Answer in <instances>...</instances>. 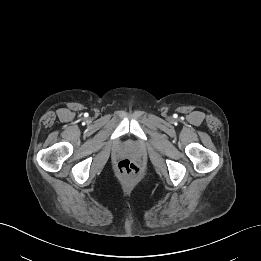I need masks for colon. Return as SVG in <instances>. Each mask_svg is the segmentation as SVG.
<instances>
[{
  "mask_svg": "<svg viewBox=\"0 0 261 261\" xmlns=\"http://www.w3.org/2000/svg\"><path fill=\"white\" fill-rule=\"evenodd\" d=\"M118 172L126 180L133 181L140 177V168L128 159H123L118 163Z\"/></svg>",
  "mask_w": 261,
  "mask_h": 261,
  "instance_id": "obj_1",
  "label": "colon"
}]
</instances>
